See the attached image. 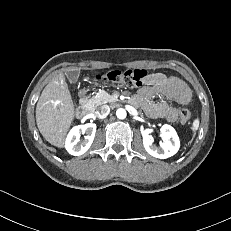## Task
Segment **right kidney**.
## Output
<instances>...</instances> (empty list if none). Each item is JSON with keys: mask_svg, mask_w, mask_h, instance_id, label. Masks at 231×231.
Wrapping results in <instances>:
<instances>
[{"mask_svg": "<svg viewBox=\"0 0 231 231\" xmlns=\"http://www.w3.org/2000/svg\"><path fill=\"white\" fill-rule=\"evenodd\" d=\"M86 134L85 139L80 142V133ZM96 132V124H84L75 126L69 132L66 139V150L69 154L74 156H80L87 152L93 143Z\"/></svg>", "mask_w": 231, "mask_h": 231, "instance_id": "obj_1", "label": "right kidney"}]
</instances>
